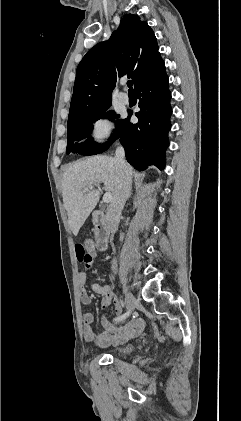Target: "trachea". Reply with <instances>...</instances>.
I'll list each match as a JSON object with an SVG mask.
<instances>
[{"mask_svg": "<svg viewBox=\"0 0 241 421\" xmlns=\"http://www.w3.org/2000/svg\"><path fill=\"white\" fill-rule=\"evenodd\" d=\"M127 86L129 87V92H134V90L132 88V81L131 80L127 81Z\"/></svg>", "mask_w": 241, "mask_h": 421, "instance_id": "obj_1", "label": "trachea"}]
</instances>
